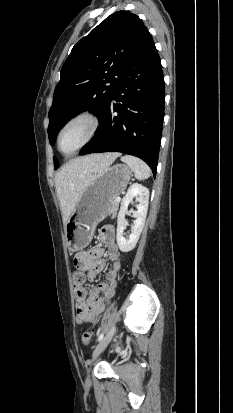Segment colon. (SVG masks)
Here are the masks:
<instances>
[{"label":"colon","mask_w":233,"mask_h":413,"mask_svg":"<svg viewBox=\"0 0 233 413\" xmlns=\"http://www.w3.org/2000/svg\"><path fill=\"white\" fill-rule=\"evenodd\" d=\"M76 270L73 272V283L76 289H80L86 282V274L79 268L78 264H75ZM93 337L92 331H86L82 335V342L88 346L91 343Z\"/></svg>","instance_id":"obj_1"}]
</instances>
